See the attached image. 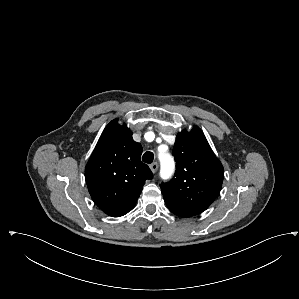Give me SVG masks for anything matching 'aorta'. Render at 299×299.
Segmentation results:
<instances>
[{
    "label": "aorta",
    "mask_w": 299,
    "mask_h": 299,
    "mask_svg": "<svg viewBox=\"0 0 299 299\" xmlns=\"http://www.w3.org/2000/svg\"><path fill=\"white\" fill-rule=\"evenodd\" d=\"M161 163V176L168 178L174 170V162L169 154H161L159 156Z\"/></svg>",
    "instance_id": "obj_1"
}]
</instances>
